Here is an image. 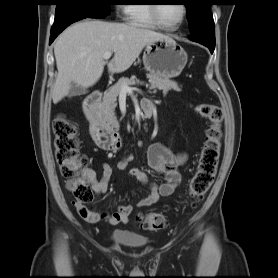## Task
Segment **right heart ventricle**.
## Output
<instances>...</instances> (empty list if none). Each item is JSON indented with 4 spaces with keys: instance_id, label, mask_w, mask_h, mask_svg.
Segmentation results:
<instances>
[{
    "instance_id": "1",
    "label": "right heart ventricle",
    "mask_w": 278,
    "mask_h": 278,
    "mask_svg": "<svg viewBox=\"0 0 278 278\" xmlns=\"http://www.w3.org/2000/svg\"><path fill=\"white\" fill-rule=\"evenodd\" d=\"M128 10L130 23L146 28L157 27L151 18L149 4L134 3L128 6Z\"/></svg>"
}]
</instances>
